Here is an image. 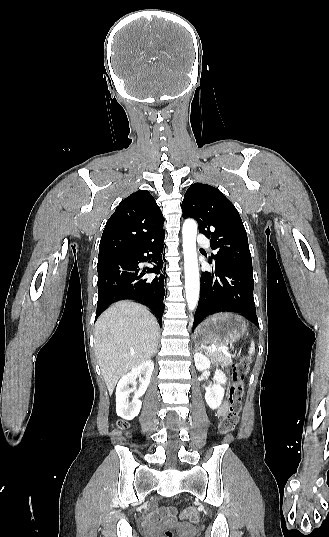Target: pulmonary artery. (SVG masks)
I'll list each match as a JSON object with an SVG mask.
<instances>
[{
  "instance_id": "pulmonary-artery-1",
  "label": "pulmonary artery",
  "mask_w": 329,
  "mask_h": 537,
  "mask_svg": "<svg viewBox=\"0 0 329 537\" xmlns=\"http://www.w3.org/2000/svg\"><path fill=\"white\" fill-rule=\"evenodd\" d=\"M197 242L201 246H208L209 244V240L203 235H198Z\"/></svg>"
}]
</instances>
